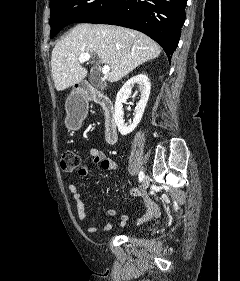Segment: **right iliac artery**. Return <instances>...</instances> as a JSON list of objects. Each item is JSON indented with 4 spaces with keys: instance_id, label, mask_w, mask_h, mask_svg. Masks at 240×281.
I'll return each mask as SVG.
<instances>
[{
    "instance_id": "right-iliac-artery-1",
    "label": "right iliac artery",
    "mask_w": 240,
    "mask_h": 281,
    "mask_svg": "<svg viewBox=\"0 0 240 281\" xmlns=\"http://www.w3.org/2000/svg\"><path fill=\"white\" fill-rule=\"evenodd\" d=\"M143 179H144V173L142 171H140V173H139V181L141 182V181H143Z\"/></svg>"
}]
</instances>
